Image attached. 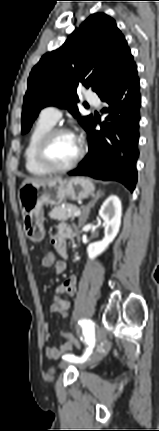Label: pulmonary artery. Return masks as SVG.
<instances>
[{"instance_id": "pulmonary-artery-1", "label": "pulmonary artery", "mask_w": 159, "mask_h": 431, "mask_svg": "<svg viewBox=\"0 0 159 431\" xmlns=\"http://www.w3.org/2000/svg\"><path fill=\"white\" fill-rule=\"evenodd\" d=\"M85 98L89 103L95 106H98L100 104V101L96 94L91 91H86ZM61 115V111L55 106L46 107L41 112V116L53 124H55L60 119Z\"/></svg>"}]
</instances>
